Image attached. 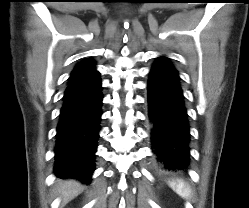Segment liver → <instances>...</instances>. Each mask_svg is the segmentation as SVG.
<instances>
[{"mask_svg": "<svg viewBox=\"0 0 249 208\" xmlns=\"http://www.w3.org/2000/svg\"><path fill=\"white\" fill-rule=\"evenodd\" d=\"M82 190L80 183L74 180L59 182L58 192L61 197L62 205L74 199Z\"/></svg>", "mask_w": 249, "mask_h": 208, "instance_id": "liver-1", "label": "liver"}]
</instances>
